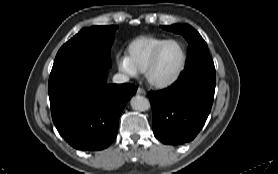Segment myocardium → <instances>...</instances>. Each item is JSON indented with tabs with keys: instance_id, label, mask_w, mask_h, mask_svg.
Here are the masks:
<instances>
[{
	"instance_id": "1",
	"label": "myocardium",
	"mask_w": 278,
	"mask_h": 174,
	"mask_svg": "<svg viewBox=\"0 0 278 174\" xmlns=\"http://www.w3.org/2000/svg\"><path fill=\"white\" fill-rule=\"evenodd\" d=\"M169 43H177L180 45L181 50H182V61H181V64H180L178 70L172 77L167 78V79H157V78L153 77L152 72H153L154 66L156 64L157 58H158L161 50ZM186 63H187V50H186V47L183 44V42H181L178 39H167V40L163 41L160 45H158L156 47V49L153 51V53L151 54V57L147 63L146 69L144 71L145 79L150 85H152L156 88L169 87L179 80V78L181 77V75L183 74V72L185 70Z\"/></svg>"
}]
</instances>
